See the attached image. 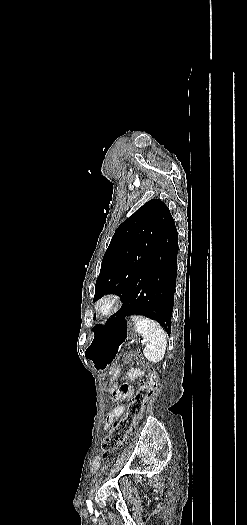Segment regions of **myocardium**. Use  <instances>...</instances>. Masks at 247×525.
<instances>
[{
    "label": "myocardium",
    "mask_w": 247,
    "mask_h": 525,
    "mask_svg": "<svg viewBox=\"0 0 247 525\" xmlns=\"http://www.w3.org/2000/svg\"><path fill=\"white\" fill-rule=\"evenodd\" d=\"M121 304V296L116 292L102 294L95 303V310L99 315L115 312Z\"/></svg>",
    "instance_id": "1"
}]
</instances>
